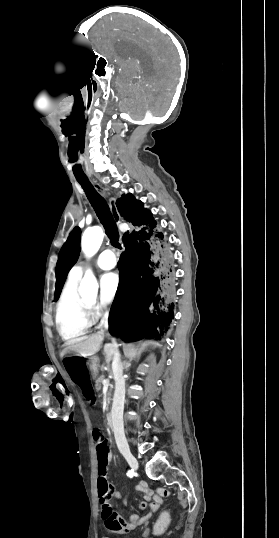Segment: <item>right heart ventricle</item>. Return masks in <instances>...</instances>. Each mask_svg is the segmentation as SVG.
I'll return each instance as SVG.
<instances>
[{"mask_svg":"<svg viewBox=\"0 0 279 538\" xmlns=\"http://www.w3.org/2000/svg\"><path fill=\"white\" fill-rule=\"evenodd\" d=\"M104 233V226L100 223L96 227L85 229L82 235V241L84 242V239L90 234L103 237ZM82 275L73 276L69 273L56 305V327L60 336L65 341H72L84 335L88 332L95 320L94 308L91 314H82L84 301L87 299L79 290Z\"/></svg>","mask_w":279,"mask_h":538,"instance_id":"e07e8e85","label":"right heart ventricle"}]
</instances>
